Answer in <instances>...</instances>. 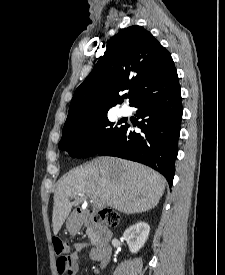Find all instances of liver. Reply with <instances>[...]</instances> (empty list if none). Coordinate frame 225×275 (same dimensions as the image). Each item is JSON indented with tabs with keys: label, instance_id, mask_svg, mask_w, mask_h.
<instances>
[{
	"label": "liver",
	"instance_id": "1",
	"mask_svg": "<svg viewBox=\"0 0 225 275\" xmlns=\"http://www.w3.org/2000/svg\"><path fill=\"white\" fill-rule=\"evenodd\" d=\"M166 186L155 170L128 160L97 157L63 176L54 192L53 232L61 229L72 207L87 197L126 214L148 211L159 203ZM70 198H74L70 202Z\"/></svg>",
	"mask_w": 225,
	"mask_h": 275
}]
</instances>
